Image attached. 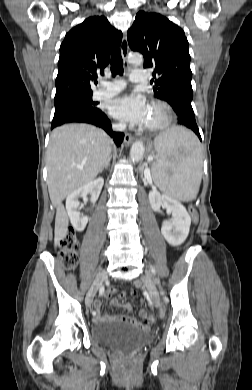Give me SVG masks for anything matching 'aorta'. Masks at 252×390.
<instances>
[{
  "label": "aorta",
  "mask_w": 252,
  "mask_h": 390,
  "mask_svg": "<svg viewBox=\"0 0 252 390\" xmlns=\"http://www.w3.org/2000/svg\"><path fill=\"white\" fill-rule=\"evenodd\" d=\"M128 61L132 64H141L143 62V57L140 54L132 53L128 56ZM144 145L141 141L133 143L130 149V158L132 162H139L144 155Z\"/></svg>",
  "instance_id": "obj_1"
}]
</instances>
